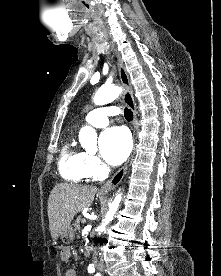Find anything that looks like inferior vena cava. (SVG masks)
Returning a JSON list of instances; mask_svg holds the SVG:
<instances>
[{
  "label": "inferior vena cava",
  "mask_w": 221,
  "mask_h": 276,
  "mask_svg": "<svg viewBox=\"0 0 221 276\" xmlns=\"http://www.w3.org/2000/svg\"><path fill=\"white\" fill-rule=\"evenodd\" d=\"M97 252L96 251H94V253H93V262L97 265V263H98V261H97Z\"/></svg>",
  "instance_id": "1"
}]
</instances>
